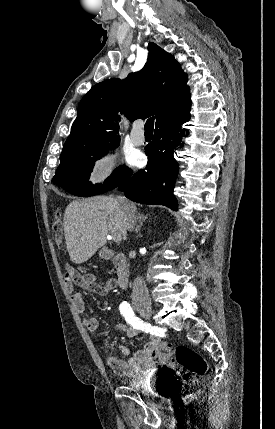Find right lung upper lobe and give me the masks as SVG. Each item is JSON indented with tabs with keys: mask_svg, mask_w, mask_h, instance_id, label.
<instances>
[{
	"mask_svg": "<svg viewBox=\"0 0 275 429\" xmlns=\"http://www.w3.org/2000/svg\"><path fill=\"white\" fill-rule=\"evenodd\" d=\"M148 51L142 70L122 81L111 78L100 82L82 98L61 160L119 140L115 137L119 126L113 122L117 108L132 121L155 114L156 127L189 115L188 79L180 64L155 43H149Z\"/></svg>",
	"mask_w": 275,
	"mask_h": 429,
	"instance_id": "right-lung-upper-lobe-1",
	"label": "right lung upper lobe"
}]
</instances>
